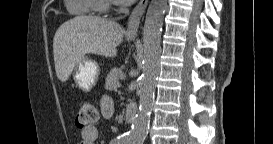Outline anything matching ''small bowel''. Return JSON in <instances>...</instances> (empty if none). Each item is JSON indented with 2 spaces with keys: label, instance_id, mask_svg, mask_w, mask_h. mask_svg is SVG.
I'll list each match as a JSON object with an SVG mask.
<instances>
[{
  "label": "small bowel",
  "instance_id": "c3829d8e",
  "mask_svg": "<svg viewBox=\"0 0 273 144\" xmlns=\"http://www.w3.org/2000/svg\"><path fill=\"white\" fill-rule=\"evenodd\" d=\"M115 106L108 97H103L100 102V112L103 118L109 119L113 116ZM99 136L98 129L95 126H89L81 130L78 144H94Z\"/></svg>",
  "mask_w": 273,
  "mask_h": 144
}]
</instances>
